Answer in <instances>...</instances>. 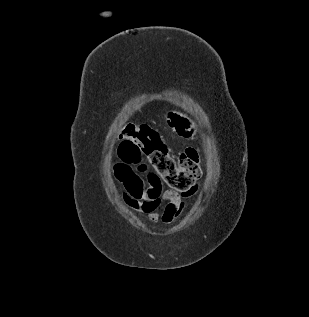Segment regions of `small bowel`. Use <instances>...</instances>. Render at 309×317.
<instances>
[{
    "instance_id": "c3829d8e",
    "label": "small bowel",
    "mask_w": 309,
    "mask_h": 317,
    "mask_svg": "<svg viewBox=\"0 0 309 317\" xmlns=\"http://www.w3.org/2000/svg\"><path fill=\"white\" fill-rule=\"evenodd\" d=\"M118 155L119 159L113 165V174L124 188L123 202L132 210L145 214L150 224L174 223L184 209L185 200L196 193L197 185L187 193L163 191L160 178L148 172L144 162L128 161L120 150Z\"/></svg>"
}]
</instances>
